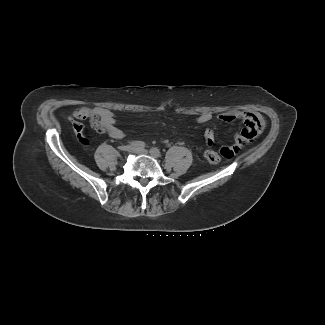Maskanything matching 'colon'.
<instances>
[{"instance_id":"colon-1","label":"colon","mask_w":325,"mask_h":325,"mask_svg":"<svg viewBox=\"0 0 325 325\" xmlns=\"http://www.w3.org/2000/svg\"><path fill=\"white\" fill-rule=\"evenodd\" d=\"M204 158L211 165H217L220 161V157H219L218 153L213 150H210V149L205 150Z\"/></svg>"}]
</instances>
